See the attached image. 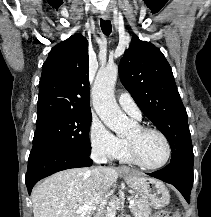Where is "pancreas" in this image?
Returning a JSON list of instances; mask_svg holds the SVG:
<instances>
[{"label":"pancreas","mask_w":211,"mask_h":217,"mask_svg":"<svg viewBox=\"0 0 211 217\" xmlns=\"http://www.w3.org/2000/svg\"><path fill=\"white\" fill-rule=\"evenodd\" d=\"M135 203L130 206L131 212L134 217H149L151 212L150 204L144 198H133Z\"/></svg>","instance_id":"obj_1"}]
</instances>
